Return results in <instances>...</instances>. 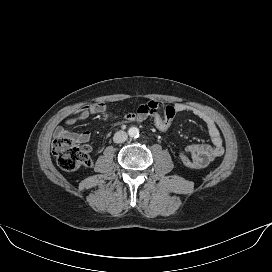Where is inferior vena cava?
Returning <instances> with one entry per match:
<instances>
[{
  "label": "inferior vena cava",
  "instance_id": "inferior-vena-cava-1",
  "mask_svg": "<svg viewBox=\"0 0 272 272\" xmlns=\"http://www.w3.org/2000/svg\"><path fill=\"white\" fill-rule=\"evenodd\" d=\"M127 137V133L120 130L114 134L113 141L115 143H123L127 140Z\"/></svg>",
  "mask_w": 272,
  "mask_h": 272
}]
</instances>
